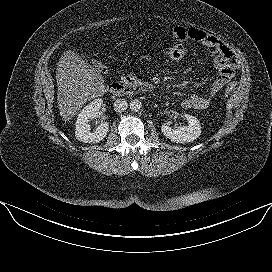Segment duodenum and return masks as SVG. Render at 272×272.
<instances>
[{"instance_id":"1","label":"duodenum","mask_w":272,"mask_h":272,"mask_svg":"<svg viewBox=\"0 0 272 272\" xmlns=\"http://www.w3.org/2000/svg\"><path fill=\"white\" fill-rule=\"evenodd\" d=\"M136 88L143 92H151L150 87L139 84L135 77L128 74H123L119 81L111 83L108 90L114 95H128Z\"/></svg>"}]
</instances>
